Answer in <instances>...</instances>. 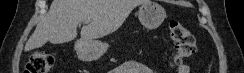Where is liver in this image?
<instances>
[{"label": "liver", "mask_w": 244, "mask_h": 73, "mask_svg": "<svg viewBox=\"0 0 244 73\" xmlns=\"http://www.w3.org/2000/svg\"><path fill=\"white\" fill-rule=\"evenodd\" d=\"M147 0H53L48 14L38 23L25 45V51L42 47L50 41L60 44L77 37L92 41L118 30L131 11Z\"/></svg>", "instance_id": "obj_1"}]
</instances>
